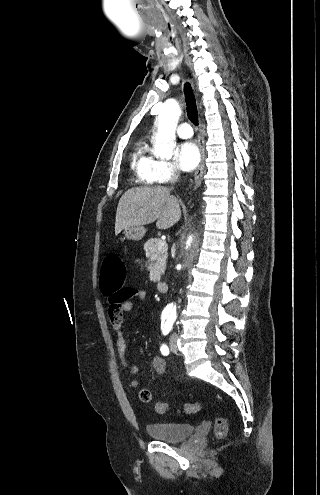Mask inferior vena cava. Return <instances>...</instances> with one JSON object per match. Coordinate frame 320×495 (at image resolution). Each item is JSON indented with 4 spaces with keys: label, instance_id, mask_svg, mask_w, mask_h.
I'll return each mask as SVG.
<instances>
[{
    "label": "inferior vena cava",
    "instance_id": "602c4592",
    "mask_svg": "<svg viewBox=\"0 0 320 495\" xmlns=\"http://www.w3.org/2000/svg\"><path fill=\"white\" fill-rule=\"evenodd\" d=\"M178 178H179V172L176 171L171 179V184L174 185L177 182Z\"/></svg>",
    "mask_w": 320,
    "mask_h": 495
}]
</instances>
